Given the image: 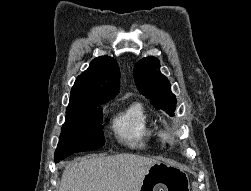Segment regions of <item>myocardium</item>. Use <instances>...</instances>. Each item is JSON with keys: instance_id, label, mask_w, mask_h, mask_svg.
<instances>
[{"instance_id": "1", "label": "myocardium", "mask_w": 251, "mask_h": 191, "mask_svg": "<svg viewBox=\"0 0 251 191\" xmlns=\"http://www.w3.org/2000/svg\"><path fill=\"white\" fill-rule=\"evenodd\" d=\"M176 133L170 128L166 127H156L155 128V137L158 142V145L161 149H169L175 143Z\"/></svg>"}]
</instances>
